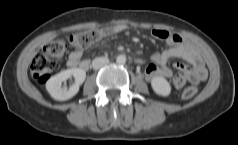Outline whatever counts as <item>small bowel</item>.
Masks as SVG:
<instances>
[{
    "instance_id": "small-bowel-1",
    "label": "small bowel",
    "mask_w": 238,
    "mask_h": 145,
    "mask_svg": "<svg viewBox=\"0 0 238 145\" xmlns=\"http://www.w3.org/2000/svg\"><path fill=\"white\" fill-rule=\"evenodd\" d=\"M126 25L118 24L107 31V34H119L126 30ZM153 36L165 40L170 44V48L164 50L161 53H154L151 56L152 63L145 68V75L148 80H152L156 77H164L169 79L172 86L180 89L186 82L192 84H198L204 81L207 77V70L204 66L203 60L200 54L187 43L180 35L170 33L162 29H154ZM83 51H72L67 59V66L70 68L79 67L86 71L90 68V61L88 59L82 60ZM174 58H181L189 62L192 65V69L182 62H176L175 68L181 73L174 74L168 67V62ZM143 61L139 59V63Z\"/></svg>"
}]
</instances>
